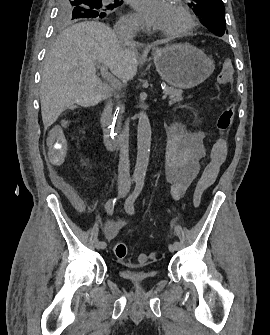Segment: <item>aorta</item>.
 Instances as JSON below:
<instances>
[{
	"label": "aorta",
	"instance_id": "obj_1",
	"mask_svg": "<svg viewBox=\"0 0 270 335\" xmlns=\"http://www.w3.org/2000/svg\"><path fill=\"white\" fill-rule=\"evenodd\" d=\"M137 128V160L133 173L135 181H144L149 164L151 146V126L146 112L138 114Z\"/></svg>",
	"mask_w": 270,
	"mask_h": 335
}]
</instances>
